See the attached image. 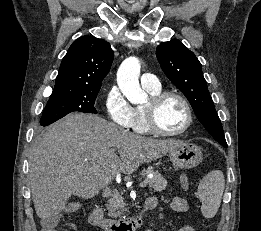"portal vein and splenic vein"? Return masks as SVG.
I'll list each match as a JSON object with an SVG mask.
<instances>
[{
	"mask_svg": "<svg viewBox=\"0 0 261 231\" xmlns=\"http://www.w3.org/2000/svg\"><path fill=\"white\" fill-rule=\"evenodd\" d=\"M152 177H153V175H150V176H149V178H152ZM147 184H148V181H147V179H146V180H143L142 182H140L139 186H140V187H146Z\"/></svg>",
	"mask_w": 261,
	"mask_h": 231,
	"instance_id": "18ae733b",
	"label": "portal vein and splenic vein"
}]
</instances>
